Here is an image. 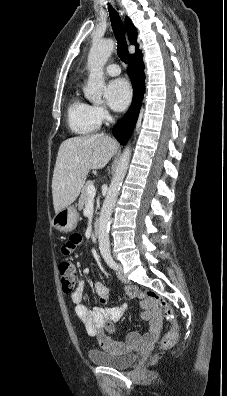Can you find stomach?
<instances>
[{"label":"stomach","instance_id":"obj_1","mask_svg":"<svg viewBox=\"0 0 227 396\" xmlns=\"http://www.w3.org/2000/svg\"><path fill=\"white\" fill-rule=\"evenodd\" d=\"M77 220L78 214L76 209L73 206H68L56 213L52 225L56 230L66 233L72 231L76 227Z\"/></svg>","mask_w":227,"mask_h":396}]
</instances>
